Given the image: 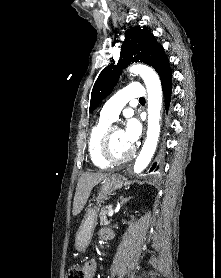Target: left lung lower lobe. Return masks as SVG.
I'll list each match as a JSON object with an SVG mask.
<instances>
[{
    "mask_svg": "<svg viewBox=\"0 0 221 278\" xmlns=\"http://www.w3.org/2000/svg\"><path fill=\"white\" fill-rule=\"evenodd\" d=\"M158 74L161 79L162 89L165 96V106L166 109H168L172 91V74L169 67V62L158 72ZM155 168L156 164H153L151 171H153Z\"/></svg>",
    "mask_w": 221,
    "mask_h": 278,
    "instance_id": "0a47b994",
    "label": "left lung lower lobe"
}]
</instances>
